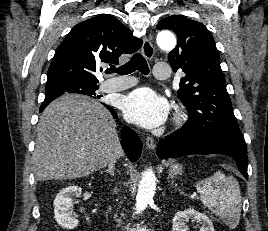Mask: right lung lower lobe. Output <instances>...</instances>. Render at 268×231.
<instances>
[{
    "instance_id": "1",
    "label": "right lung lower lobe",
    "mask_w": 268,
    "mask_h": 231,
    "mask_svg": "<svg viewBox=\"0 0 268 231\" xmlns=\"http://www.w3.org/2000/svg\"><path fill=\"white\" fill-rule=\"evenodd\" d=\"M105 106L115 117L116 113L114 109L107 105ZM43 110L44 109H40L39 112H42ZM121 144L130 161L134 162L140 157L142 152V142L138 135L128 127H123Z\"/></svg>"
}]
</instances>
